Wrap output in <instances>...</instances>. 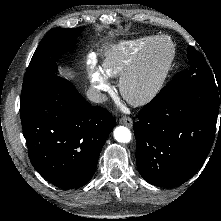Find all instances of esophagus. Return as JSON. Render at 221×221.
<instances>
[{"mask_svg":"<svg viewBox=\"0 0 221 221\" xmlns=\"http://www.w3.org/2000/svg\"><path fill=\"white\" fill-rule=\"evenodd\" d=\"M119 123H120V124H124V125H126V126H128V127H132V125H133L132 119H131L130 117H127V116L122 117V118L119 120Z\"/></svg>","mask_w":221,"mask_h":221,"instance_id":"obj_1","label":"esophagus"}]
</instances>
